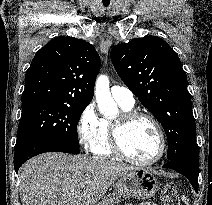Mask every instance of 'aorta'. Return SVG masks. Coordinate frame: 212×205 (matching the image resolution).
I'll return each instance as SVG.
<instances>
[{
    "label": "aorta",
    "mask_w": 212,
    "mask_h": 205,
    "mask_svg": "<svg viewBox=\"0 0 212 205\" xmlns=\"http://www.w3.org/2000/svg\"><path fill=\"white\" fill-rule=\"evenodd\" d=\"M95 98L102 114L110 116L117 111V105L111 96L109 79L106 75H100L96 80Z\"/></svg>",
    "instance_id": "obj_1"
}]
</instances>
